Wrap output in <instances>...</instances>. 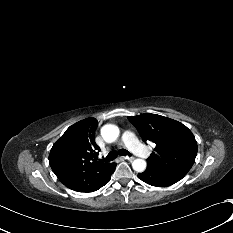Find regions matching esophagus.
Returning a JSON list of instances; mask_svg holds the SVG:
<instances>
[{
    "label": "esophagus",
    "mask_w": 233,
    "mask_h": 233,
    "mask_svg": "<svg viewBox=\"0 0 233 233\" xmlns=\"http://www.w3.org/2000/svg\"><path fill=\"white\" fill-rule=\"evenodd\" d=\"M124 159H126L128 161H133L135 158L133 156H130V157L126 156V157H124Z\"/></svg>",
    "instance_id": "34e87169"
}]
</instances>
